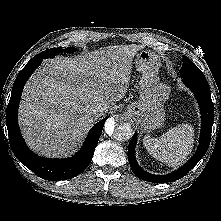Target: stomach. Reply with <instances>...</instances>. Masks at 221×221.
Here are the masks:
<instances>
[{
  "instance_id": "0dacf381",
  "label": "stomach",
  "mask_w": 221,
  "mask_h": 221,
  "mask_svg": "<svg viewBox=\"0 0 221 221\" xmlns=\"http://www.w3.org/2000/svg\"><path fill=\"white\" fill-rule=\"evenodd\" d=\"M135 68L141 73L139 99L127 106V113L144 132L162 126L165 121L164 103L169 97L170 88L159 82L161 66L159 56L151 50L137 53Z\"/></svg>"
}]
</instances>
